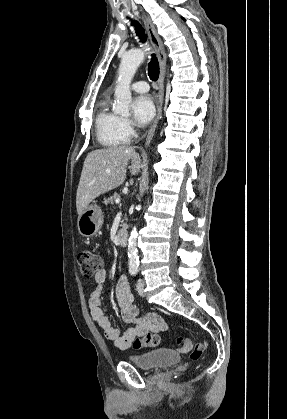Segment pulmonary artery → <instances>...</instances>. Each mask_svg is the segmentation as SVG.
Masks as SVG:
<instances>
[{"instance_id": "e3ab8cb5", "label": "pulmonary artery", "mask_w": 287, "mask_h": 419, "mask_svg": "<svg viewBox=\"0 0 287 419\" xmlns=\"http://www.w3.org/2000/svg\"><path fill=\"white\" fill-rule=\"evenodd\" d=\"M131 88L136 92L143 93V92H147L149 90V85L145 81H138V82H134L131 85Z\"/></svg>"}]
</instances>
